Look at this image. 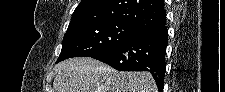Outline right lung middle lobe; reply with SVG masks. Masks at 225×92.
<instances>
[{"mask_svg": "<svg viewBox=\"0 0 225 92\" xmlns=\"http://www.w3.org/2000/svg\"><path fill=\"white\" fill-rule=\"evenodd\" d=\"M141 32L133 26L120 22L87 23L68 28L56 63L70 57H93L135 38Z\"/></svg>", "mask_w": 225, "mask_h": 92, "instance_id": "right-lung-middle-lobe-1", "label": "right lung middle lobe"}]
</instances>
